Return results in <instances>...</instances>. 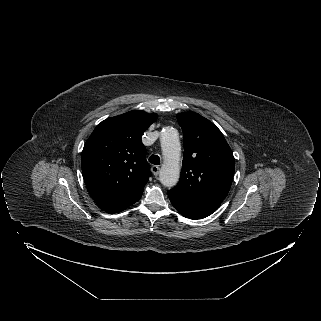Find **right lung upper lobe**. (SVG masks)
Wrapping results in <instances>:
<instances>
[{
  "label": "right lung upper lobe",
  "instance_id": "obj_1",
  "mask_svg": "<svg viewBox=\"0 0 321 321\" xmlns=\"http://www.w3.org/2000/svg\"><path fill=\"white\" fill-rule=\"evenodd\" d=\"M157 114L133 110L107 118L86 141L82 174L98 207L118 213L137 202L150 177L142 133Z\"/></svg>",
  "mask_w": 321,
  "mask_h": 321
}]
</instances>
